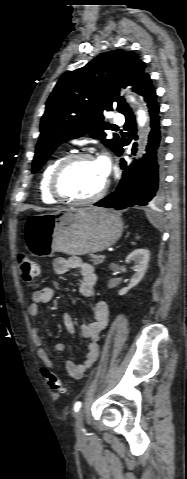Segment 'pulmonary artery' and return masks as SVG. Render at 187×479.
Here are the masks:
<instances>
[{
	"label": "pulmonary artery",
	"mask_w": 187,
	"mask_h": 479,
	"mask_svg": "<svg viewBox=\"0 0 187 479\" xmlns=\"http://www.w3.org/2000/svg\"><path fill=\"white\" fill-rule=\"evenodd\" d=\"M113 122L117 125H122L124 123V116L122 114H115L113 117Z\"/></svg>",
	"instance_id": "obj_1"
}]
</instances>
